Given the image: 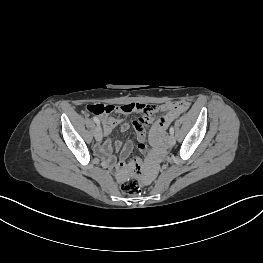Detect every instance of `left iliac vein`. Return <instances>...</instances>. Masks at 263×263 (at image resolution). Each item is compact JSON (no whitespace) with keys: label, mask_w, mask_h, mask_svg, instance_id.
Segmentation results:
<instances>
[{"label":"left iliac vein","mask_w":263,"mask_h":263,"mask_svg":"<svg viewBox=\"0 0 263 263\" xmlns=\"http://www.w3.org/2000/svg\"><path fill=\"white\" fill-rule=\"evenodd\" d=\"M175 142H176V140H175V137H174V135H170L169 136V138H168V144H169V146H174L175 145Z\"/></svg>","instance_id":"left-iliac-vein-1"}]
</instances>
